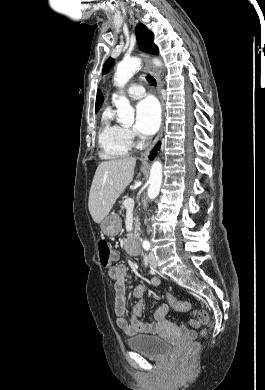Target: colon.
<instances>
[{
    "label": "colon",
    "mask_w": 265,
    "mask_h": 390,
    "mask_svg": "<svg viewBox=\"0 0 265 390\" xmlns=\"http://www.w3.org/2000/svg\"><path fill=\"white\" fill-rule=\"evenodd\" d=\"M98 256L100 259V263L104 268L109 269L112 267L115 259L114 252L106 241H100L98 243ZM167 300L170 306L176 311L185 312L190 311L192 309L191 303L186 301H180L172 294H168ZM195 315L198 318L199 322L203 325H207L209 323V315L207 312L199 310L195 311ZM199 349L200 344L197 342L193 343L184 354L183 361L189 362L198 353Z\"/></svg>",
    "instance_id": "colon-1"
}]
</instances>
